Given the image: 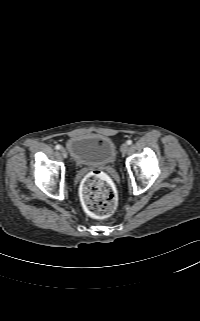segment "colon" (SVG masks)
Instances as JSON below:
<instances>
[{
  "label": "colon",
  "instance_id": "5ec220e1",
  "mask_svg": "<svg viewBox=\"0 0 200 321\" xmlns=\"http://www.w3.org/2000/svg\"><path fill=\"white\" fill-rule=\"evenodd\" d=\"M81 197L86 211L95 218L109 217L117 206L115 190L101 171H93L84 178Z\"/></svg>",
  "mask_w": 200,
  "mask_h": 321
}]
</instances>
